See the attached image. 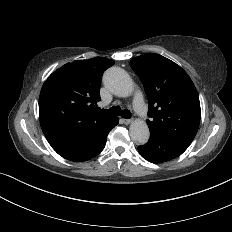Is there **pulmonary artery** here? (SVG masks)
<instances>
[{"instance_id":"1","label":"pulmonary artery","mask_w":232,"mask_h":232,"mask_svg":"<svg viewBox=\"0 0 232 232\" xmlns=\"http://www.w3.org/2000/svg\"><path fill=\"white\" fill-rule=\"evenodd\" d=\"M134 103H133V107L137 113L138 116L145 118L148 116L149 111L147 108H145L144 106V100H145V96L143 93L138 92L135 94L134 96Z\"/></svg>"}]
</instances>
